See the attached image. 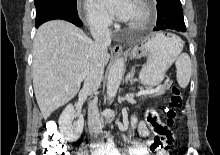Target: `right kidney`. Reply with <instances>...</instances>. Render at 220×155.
Returning <instances> with one entry per match:
<instances>
[{"label": "right kidney", "mask_w": 220, "mask_h": 155, "mask_svg": "<svg viewBox=\"0 0 220 155\" xmlns=\"http://www.w3.org/2000/svg\"><path fill=\"white\" fill-rule=\"evenodd\" d=\"M75 117H78V120L74 122ZM58 123L60 132L65 138L78 139L83 131L84 118L69 104L60 115Z\"/></svg>", "instance_id": "obj_1"}]
</instances>
